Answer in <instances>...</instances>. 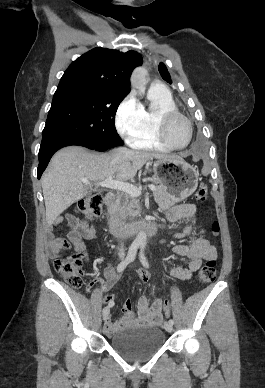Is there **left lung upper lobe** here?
<instances>
[{"instance_id": "5c2ea615", "label": "left lung upper lobe", "mask_w": 265, "mask_h": 388, "mask_svg": "<svg viewBox=\"0 0 265 388\" xmlns=\"http://www.w3.org/2000/svg\"><path fill=\"white\" fill-rule=\"evenodd\" d=\"M158 70L164 80H166L169 83H172L167 67L163 63L159 64Z\"/></svg>"}]
</instances>
